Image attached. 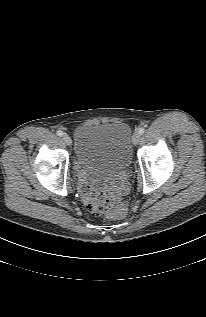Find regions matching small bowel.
Listing matches in <instances>:
<instances>
[{
  "label": "small bowel",
  "instance_id": "c3829d8e",
  "mask_svg": "<svg viewBox=\"0 0 206 317\" xmlns=\"http://www.w3.org/2000/svg\"><path fill=\"white\" fill-rule=\"evenodd\" d=\"M89 189V187L85 184V183H82V195H83V198H84V201L87 202V190Z\"/></svg>",
  "mask_w": 206,
  "mask_h": 317
}]
</instances>
